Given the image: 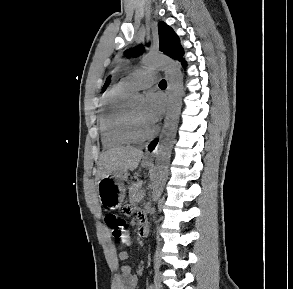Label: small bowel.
Returning <instances> with one entry per match:
<instances>
[{
  "instance_id": "small-bowel-1",
  "label": "small bowel",
  "mask_w": 293,
  "mask_h": 289,
  "mask_svg": "<svg viewBox=\"0 0 293 289\" xmlns=\"http://www.w3.org/2000/svg\"><path fill=\"white\" fill-rule=\"evenodd\" d=\"M124 244H130V235L127 233ZM121 261H127L130 258L128 251L121 250L118 254ZM138 283L137 276L133 273L129 265H123L120 269V275L116 280V289H135Z\"/></svg>"
}]
</instances>
